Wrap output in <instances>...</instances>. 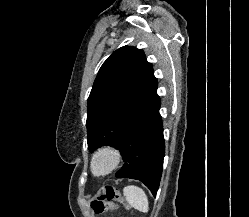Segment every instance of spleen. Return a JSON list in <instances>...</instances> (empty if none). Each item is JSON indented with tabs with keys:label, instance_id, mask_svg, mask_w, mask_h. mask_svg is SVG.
I'll return each mask as SVG.
<instances>
[{
	"label": "spleen",
	"instance_id": "obj_1",
	"mask_svg": "<svg viewBox=\"0 0 249 217\" xmlns=\"http://www.w3.org/2000/svg\"><path fill=\"white\" fill-rule=\"evenodd\" d=\"M127 202L135 209L147 213L149 202L146 193L138 186L129 185L123 190Z\"/></svg>",
	"mask_w": 249,
	"mask_h": 217
}]
</instances>
